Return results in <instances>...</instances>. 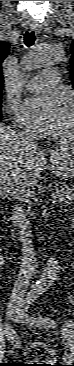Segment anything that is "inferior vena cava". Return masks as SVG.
<instances>
[{
	"instance_id": "inferior-vena-cava-1",
	"label": "inferior vena cava",
	"mask_w": 74,
	"mask_h": 366,
	"mask_svg": "<svg viewBox=\"0 0 74 366\" xmlns=\"http://www.w3.org/2000/svg\"><path fill=\"white\" fill-rule=\"evenodd\" d=\"M21 143L33 149L37 148V134L31 130L20 132ZM24 187H18L14 191V196H21L25 193ZM13 224L18 228V234L22 243V263L18 275V280L13 288L12 295L23 296L28 287L29 279L36 263L35 251L32 242V231L30 220L27 218L25 210L20 205H14L12 214Z\"/></svg>"
}]
</instances>
